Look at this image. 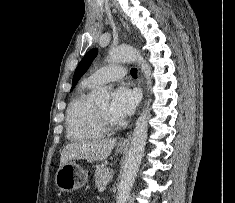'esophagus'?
Wrapping results in <instances>:
<instances>
[{
  "mask_svg": "<svg viewBox=\"0 0 235 203\" xmlns=\"http://www.w3.org/2000/svg\"><path fill=\"white\" fill-rule=\"evenodd\" d=\"M121 22H122L124 28L127 30V32L131 33L130 28L128 27L127 23L125 21H123L122 19H121ZM129 142H130V134H128L126 138L122 139L119 142V145H121V146H128Z\"/></svg>",
  "mask_w": 235,
  "mask_h": 203,
  "instance_id": "esophagus-1",
  "label": "esophagus"
}]
</instances>
